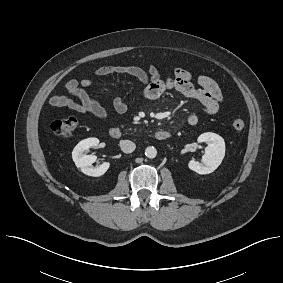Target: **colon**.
<instances>
[{
    "instance_id": "colon-1",
    "label": "colon",
    "mask_w": 283,
    "mask_h": 283,
    "mask_svg": "<svg viewBox=\"0 0 283 283\" xmlns=\"http://www.w3.org/2000/svg\"><path fill=\"white\" fill-rule=\"evenodd\" d=\"M232 126L236 131H240L244 128L245 122L240 119H234ZM78 127V119L74 116H67L60 118L53 122L51 129L53 133L59 137H70Z\"/></svg>"
}]
</instances>
